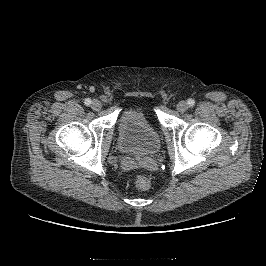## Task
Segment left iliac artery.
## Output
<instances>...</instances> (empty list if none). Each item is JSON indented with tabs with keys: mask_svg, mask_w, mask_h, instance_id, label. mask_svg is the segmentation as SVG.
Instances as JSON below:
<instances>
[{
	"mask_svg": "<svg viewBox=\"0 0 266 266\" xmlns=\"http://www.w3.org/2000/svg\"><path fill=\"white\" fill-rule=\"evenodd\" d=\"M188 104H189V106H194L195 105V101L193 99H189L188 100Z\"/></svg>",
	"mask_w": 266,
	"mask_h": 266,
	"instance_id": "obj_1",
	"label": "left iliac artery"
}]
</instances>
